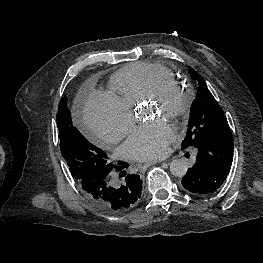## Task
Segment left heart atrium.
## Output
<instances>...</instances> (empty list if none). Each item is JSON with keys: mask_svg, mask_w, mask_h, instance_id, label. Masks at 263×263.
I'll return each instance as SVG.
<instances>
[{"mask_svg": "<svg viewBox=\"0 0 263 263\" xmlns=\"http://www.w3.org/2000/svg\"><path fill=\"white\" fill-rule=\"evenodd\" d=\"M173 138V128L164 120L157 119L134 130L122 146V152L135 161L156 160L166 154Z\"/></svg>", "mask_w": 263, "mask_h": 263, "instance_id": "1", "label": "left heart atrium"}]
</instances>
